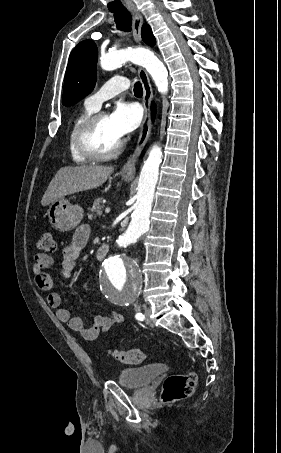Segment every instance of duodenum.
<instances>
[{
	"label": "duodenum",
	"instance_id": "1",
	"mask_svg": "<svg viewBox=\"0 0 281 453\" xmlns=\"http://www.w3.org/2000/svg\"><path fill=\"white\" fill-rule=\"evenodd\" d=\"M109 248L106 244H101L96 250V257L99 260H103L108 254Z\"/></svg>",
	"mask_w": 281,
	"mask_h": 453
}]
</instances>
